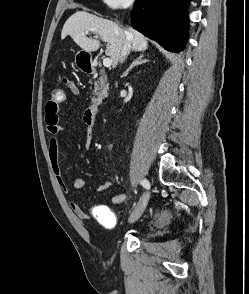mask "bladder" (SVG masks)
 I'll use <instances>...</instances> for the list:
<instances>
[{"instance_id":"31cf9c89","label":"bladder","mask_w":249,"mask_h":294,"mask_svg":"<svg viewBox=\"0 0 249 294\" xmlns=\"http://www.w3.org/2000/svg\"><path fill=\"white\" fill-rule=\"evenodd\" d=\"M170 219L169 213L168 212H164L161 217L159 218V221H162L164 223L168 222Z\"/></svg>"}]
</instances>
